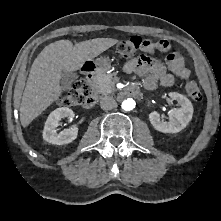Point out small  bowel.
<instances>
[{
  "label": "small bowel",
  "mask_w": 221,
  "mask_h": 221,
  "mask_svg": "<svg viewBox=\"0 0 221 221\" xmlns=\"http://www.w3.org/2000/svg\"><path fill=\"white\" fill-rule=\"evenodd\" d=\"M148 41L149 44L143 47L142 51L146 53L155 50L165 52L166 65L141 55L126 62L124 65L126 73H135L142 76L143 85L146 89H155L159 85L169 87L175 82L176 78L185 80L190 76V71L185 66L179 50L169 49L168 42L165 40Z\"/></svg>",
  "instance_id": "small-bowel-1"
}]
</instances>
